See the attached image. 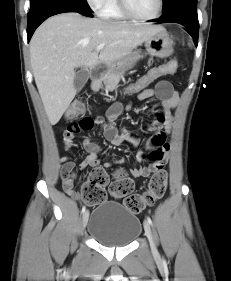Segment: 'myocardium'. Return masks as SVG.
I'll list each match as a JSON object with an SVG mask.
<instances>
[{
    "label": "myocardium",
    "mask_w": 231,
    "mask_h": 281,
    "mask_svg": "<svg viewBox=\"0 0 231 281\" xmlns=\"http://www.w3.org/2000/svg\"><path fill=\"white\" fill-rule=\"evenodd\" d=\"M118 4L120 7L121 12L123 13V15L131 20H134L136 22H152L156 19H158L162 12H163V8H164V0H158V9L156 11V13L151 16V17H140L138 15H136L129 7L127 0H118Z\"/></svg>",
    "instance_id": "f54148a6"
}]
</instances>
